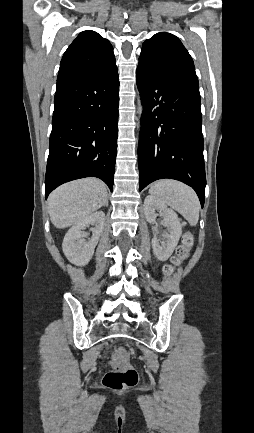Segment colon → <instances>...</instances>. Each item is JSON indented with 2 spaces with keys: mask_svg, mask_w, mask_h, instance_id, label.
Here are the masks:
<instances>
[{
  "mask_svg": "<svg viewBox=\"0 0 254 433\" xmlns=\"http://www.w3.org/2000/svg\"><path fill=\"white\" fill-rule=\"evenodd\" d=\"M195 242L194 235L191 232H185L182 236L181 243L176 249L175 255L171 262L164 266L163 273L165 277L173 276L176 267L186 261L191 253ZM126 353L121 351L113 360V367L103 377V384L112 390H125L134 387L138 382V373L136 369L130 366L126 360Z\"/></svg>",
  "mask_w": 254,
  "mask_h": 433,
  "instance_id": "1",
  "label": "colon"
}]
</instances>
